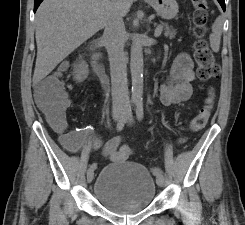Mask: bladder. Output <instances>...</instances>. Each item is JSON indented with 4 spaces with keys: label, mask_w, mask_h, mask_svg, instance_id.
<instances>
[{
    "label": "bladder",
    "mask_w": 245,
    "mask_h": 225,
    "mask_svg": "<svg viewBox=\"0 0 245 225\" xmlns=\"http://www.w3.org/2000/svg\"><path fill=\"white\" fill-rule=\"evenodd\" d=\"M157 194L152 171L124 160L100 169L93 187V197L106 210L131 215L150 207Z\"/></svg>",
    "instance_id": "obj_1"
}]
</instances>
